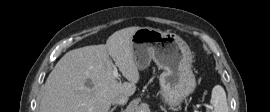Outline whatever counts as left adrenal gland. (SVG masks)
<instances>
[{"instance_id": "1", "label": "left adrenal gland", "mask_w": 270, "mask_h": 112, "mask_svg": "<svg viewBox=\"0 0 270 112\" xmlns=\"http://www.w3.org/2000/svg\"><path fill=\"white\" fill-rule=\"evenodd\" d=\"M160 108L162 111L167 112V110L163 106H160Z\"/></svg>"}]
</instances>
